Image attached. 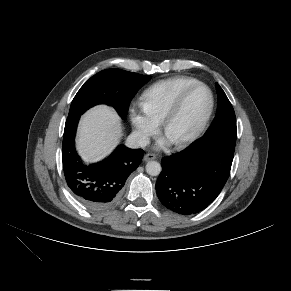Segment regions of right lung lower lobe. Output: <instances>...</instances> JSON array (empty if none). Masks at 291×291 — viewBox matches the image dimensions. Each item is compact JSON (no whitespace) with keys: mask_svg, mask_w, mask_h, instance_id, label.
<instances>
[{"mask_svg":"<svg viewBox=\"0 0 291 291\" xmlns=\"http://www.w3.org/2000/svg\"><path fill=\"white\" fill-rule=\"evenodd\" d=\"M80 115L67 118L63 136L62 162L68 187L76 199L93 211L112 206L125 181L139 166L144 151L120 145L100 163L85 165L75 150L74 137Z\"/></svg>","mask_w":291,"mask_h":291,"instance_id":"right-lung-lower-lobe-1","label":"right lung lower lobe"}]
</instances>
